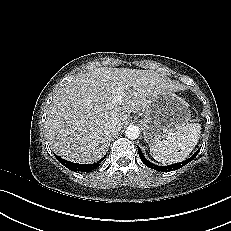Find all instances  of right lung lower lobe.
Masks as SVG:
<instances>
[{"label": "right lung lower lobe", "instance_id": "1", "mask_svg": "<svg viewBox=\"0 0 231 231\" xmlns=\"http://www.w3.org/2000/svg\"><path fill=\"white\" fill-rule=\"evenodd\" d=\"M57 160L64 165L66 168H68L71 171H81V172H89L91 170H94L96 167L99 166V163L105 158H102L100 161L94 164H78L73 163L67 160L62 159L61 157L56 155Z\"/></svg>", "mask_w": 231, "mask_h": 231}]
</instances>
